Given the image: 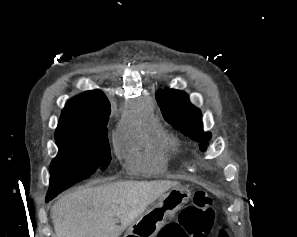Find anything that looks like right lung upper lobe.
I'll return each mask as SVG.
<instances>
[{
  "mask_svg": "<svg viewBox=\"0 0 297 237\" xmlns=\"http://www.w3.org/2000/svg\"><path fill=\"white\" fill-rule=\"evenodd\" d=\"M109 115L107 97L100 90L87 91L66 103L57 128L103 127L107 125Z\"/></svg>",
  "mask_w": 297,
  "mask_h": 237,
  "instance_id": "1",
  "label": "right lung upper lobe"
}]
</instances>
